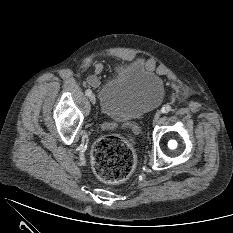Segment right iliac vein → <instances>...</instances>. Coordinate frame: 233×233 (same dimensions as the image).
I'll use <instances>...</instances> for the list:
<instances>
[{
	"label": "right iliac vein",
	"instance_id": "63e3f726",
	"mask_svg": "<svg viewBox=\"0 0 233 233\" xmlns=\"http://www.w3.org/2000/svg\"><path fill=\"white\" fill-rule=\"evenodd\" d=\"M89 99H90V101H91L92 104H95V103H96V97H95V95L91 94V95L89 96Z\"/></svg>",
	"mask_w": 233,
	"mask_h": 233
}]
</instances>
